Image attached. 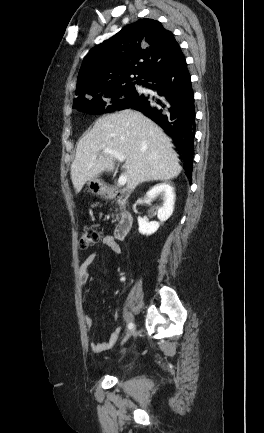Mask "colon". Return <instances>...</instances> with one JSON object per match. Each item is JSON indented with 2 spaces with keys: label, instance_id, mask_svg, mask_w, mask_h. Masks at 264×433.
Wrapping results in <instances>:
<instances>
[{
  "label": "colon",
  "instance_id": "1",
  "mask_svg": "<svg viewBox=\"0 0 264 433\" xmlns=\"http://www.w3.org/2000/svg\"><path fill=\"white\" fill-rule=\"evenodd\" d=\"M103 239L102 234L91 227L84 228L80 235V247L82 249H88L95 246Z\"/></svg>",
  "mask_w": 264,
  "mask_h": 433
}]
</instances>
